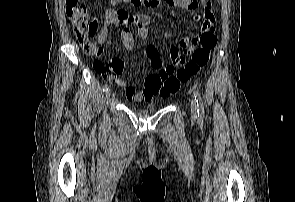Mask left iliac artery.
I'll use <instances>...</instances> for the list:
<instances>
[{"label": "left iliac artery", "instance_id": "left-iliac-artery-1", "mask_svg": "<svg viewBox=\"0 0 295 202\" xmlns=\"http://www.w3.org/2000/svg\"><path fill=\"white\" fill-rule=\"evenodd\" d=\"M196 104H197V114H198V118L200 120H203L204 118V106H203V101L202 98L200 96V94L198 93V91H194L193 92Z\"/></svg>", "mask_w": 295, "mask_h": 202}]
</instances>
